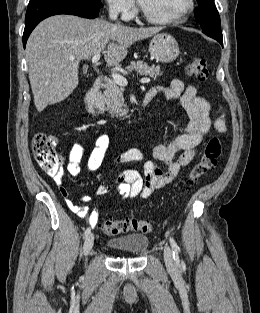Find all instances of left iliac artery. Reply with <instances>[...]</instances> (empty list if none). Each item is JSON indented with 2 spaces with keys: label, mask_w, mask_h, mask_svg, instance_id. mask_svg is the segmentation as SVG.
I'll return each mask as SVG.
<instances>
[{
  "label": "left iliac artery",
  "mask_w": 260,
  "mask_h": 313,
  "mask_svg": "<svg viewBox=\"0 0 260 313\" xmlns=\"http://www.w3.org/2000/svg\"><path fill=\"white\" fill-rule=\"evenodd\" d=\"M169 241H170L171 247L173 249V257H174V259L176 261H179L180 248L177 245L176 241L172 237H170Z\"/></svg>",
  "instance_id": "left-iliac-artery-1"
}]
</instances>
